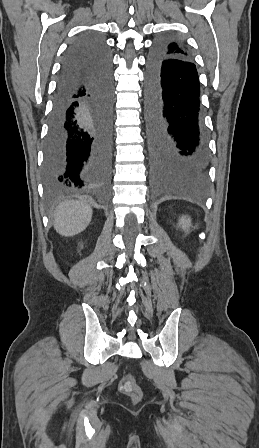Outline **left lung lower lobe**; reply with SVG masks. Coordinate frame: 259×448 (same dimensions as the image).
Returning <instances> with one entry per match:
<instances>
[{
  "instance_id": "obj_1",
  "label": "left lung lower lobe",
  "mask_w": 259,
  "mask_h": 448,
  "mask_svg": "<svg viewBox=\"0 0 259 448\" xmlns=\"http://www.w3.org/2000/svg\"><path fill=\"white\" fill-rule=\"evenodd\" d=\"M159 38L147 62L148 145L157 189L195 191L206 184L207 133L200 105V83L193 60L165 58Z\"/></svg>"
}]
</instances>
